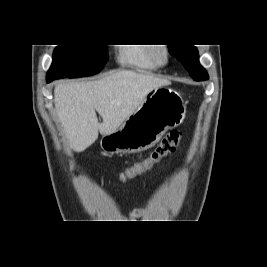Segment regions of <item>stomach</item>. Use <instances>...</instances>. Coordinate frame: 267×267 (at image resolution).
Returning a JSON list of instances; mask_svg holds the SVG:
<instances>
[{
  "label": "stomach",
  "instance_id": "stomach-1",
  "mask_svg": "<svg viewBox=\"0 0 267 267\" xmlns=\"http://www.w3.org/2000/svg\"><path fill=\"white\" fill-rule=\"evenodd\" d=\"M185 107L175 91L159 87L114 133L104 135L101 146L106 153H137L153 147L165 132L182 123Z\"/></svg>",
  "mask_w": 267,
  "mask_h": 267
}]
</instances>
